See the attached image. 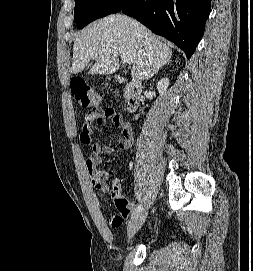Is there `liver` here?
Listing matches in <instances>:
<instances>
[{
  "instance_id": "1",
  "label": "liver",
  "mask_w": 253,
  "mask_h": 271,
  "mask_svg": "<svg viewBox=\"0 0 253 271\" xmlns=\"http://www.w3.org/2000/svg\"><path fill=\"white\" fill-rule=\"evenodd\" d=\"M120 53L132 60L131 76L136 81L150 79L172 57L171 49L141 23L113 14L99 19L76 36L71 72H81L94 60L90 74L115 73L119 69Z\"/></svg>"
}]
</instances>
